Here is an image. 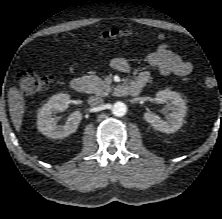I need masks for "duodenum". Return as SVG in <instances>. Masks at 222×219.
<instances>
[{"instance_id":"duodenum-1","label":"duodenum","mask_w":222,"mask_h":219,"mask_svg":"<svg viewBox=\"0 0 222 219\" xmlns=\"http://www.w3.org/2000/svg\"><path fill=\"white\" fill-rule=\"evenodd\" d=\"M71 88L77 93H83L87 89V82L83 77H75L71 80ZM141 88L142 84L139 82L121 84L115 88V93L119 96H135L140 93Z\"/></svg>"}]
</instances>
